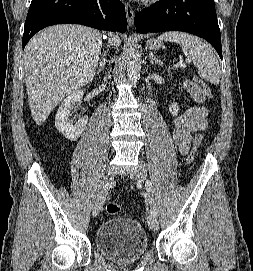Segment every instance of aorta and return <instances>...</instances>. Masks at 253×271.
<instances>
[{
	"instance_id": "1",
	"label": "aorta",
	"mask_w": 253,
	"mask_h": 271,
	"mask_svg": "<svg viewBox=\"0 0 253 271\" xmlns=\"http://www.w3.org/2000/svg\"><path fill=\"white\" fill-rule=\"evenodd\" d=\"M141 59L139 51L131 46L127 52V75L128 78L136 83L140 76Z\"/></svg>"
}]
</instances>
